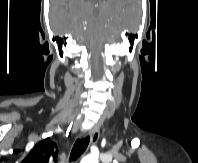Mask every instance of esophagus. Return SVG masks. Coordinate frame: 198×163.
<instances>
[{
	"label": "esophagus",
	"mask_w": 198,
	"mask_h": 163,
	"mask_svg": "<svg viewBox=\"0 0 198 163\" xmlns=\"http://www.w3.org/2000/svg\"><path fill=\"white\" fill-rule=\"evenodd\" d=\"M91 144H96L100 137V128L98 125L94 126L92 130L89 132Z\"/></svg>",
	"instance_id": "obj_1"
}]
</instances>
